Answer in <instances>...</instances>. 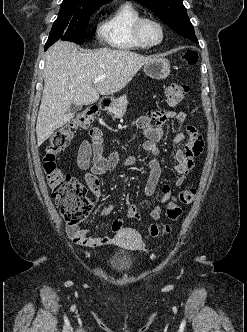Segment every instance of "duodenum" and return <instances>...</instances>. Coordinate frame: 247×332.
I'll list each match as a JSON object with an SVG mask.
<instances>
[{
  "label": "duodenum",
  "mask_w": 247,
  "mask_h": 332,
  "mask_svg": "<svg viewBox=\"0 0 247 332\" xmlns=\"http://www.w3.org/2000/svg\"><path fill=\"white\" fill-rule=\"evenodd\" d=\"M109 106H110V101L107 100V99H102V100H100V101L98 102V104H97V108H98V110H100V111H105V110H107V109L109 108Z\"/></svg>",
  "instance_id": "410a0bca"
}]
</instances>
